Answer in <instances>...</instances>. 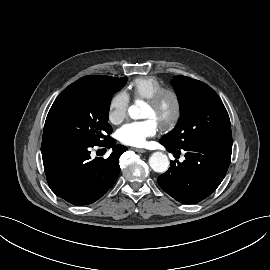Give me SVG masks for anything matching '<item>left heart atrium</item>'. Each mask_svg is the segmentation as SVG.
I'll return each mask as SVG.
<instances>
[{
	"label": "left heart atrium",
	"instance_id": "39dd6f15",
	"mask_svg": "<svg viewBox=\"0 0 270 270\" xmlns=\"http://www.w3.org/2000/svg\"><path fill=\"white\" fill-rule=\"evenodd\" d=\"M159 129V123L151 117L123 125L117 135L123 144L139 147L145 144L147 138L156 135Z\"/></svg>",
	"mask_w": 270,
	"mask_h": 270
}]
</instances>
